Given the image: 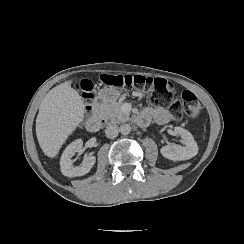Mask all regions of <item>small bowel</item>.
Returning a JSON list of instances; mask_svg holds the SVG:
<instances>
[{
	"label": "small bowel",
	"mask_w": 244,
	"mask_h": 244,
	"mask_svg": "<svg viewBox=\"0 0 244 244\" xmlns=\"http://www.w3.org/2000/svg\"><path fill=\"white\" fill-rule=\"evenodd\" d=\"M141 117L146 119H153L157 124L164 125L175 120V115L162 107H146L141 112Z\"/></svg>",
	"instance_id": "obj_1"
}]
</instances>
